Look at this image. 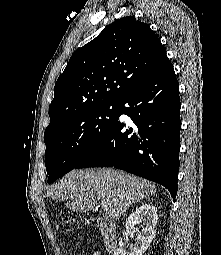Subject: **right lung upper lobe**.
Instances as JSON below:
<instances>
[{
	"instance_id": "obj_1",
	"label": "right lung upper lobe",
	"mask_w": 221,
	"mask_h": 255,
	"mask_svg": "<svg viewBox=\"0 0 221 255\" xmlns=\"http://www.w3.org/2000/svg\"><path fill=\"white\" fill-rule=\"evenodd\" d=\"M166 57L149 25L132 16L116 20L71 56L55 84L45 131L86 107L119 103Z\"/></svg>"
}]
</instances>
